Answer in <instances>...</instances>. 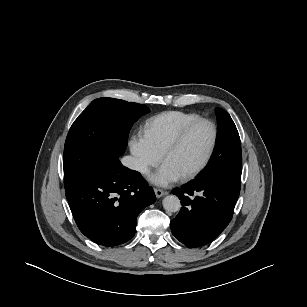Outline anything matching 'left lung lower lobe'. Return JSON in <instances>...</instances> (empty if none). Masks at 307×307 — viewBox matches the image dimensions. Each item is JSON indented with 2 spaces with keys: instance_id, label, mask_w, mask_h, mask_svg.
<instances>
[{
  "instance_id": "1",
  "label": "left lung lower lobe",
  "mask_w": 307,
  "mask_h": 307,
  "mask_svg": "<svg viewBox=\"0 0 307 307\" xmlns=\"http://www.w3.org/2000/svg\"><path fill=\"white\" fill-rule=\"evenodd\" d=\"M182 201L179 214L170 223L173 235L188 247L214 240L232 219L240 189L221 178L198 179L174 189ZM198 194L195 198H190Z\"/></svg>"
}]
</instances>
